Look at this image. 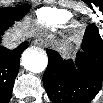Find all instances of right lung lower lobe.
<instances>
[{
    "mask_svg": "<svg viewBox=\"0 0 103 103\" xmlns=\"http://www.w3.org/2000/svg\"><path fill=\"white\" fill-rule=\"evenodd\" d=\"M13 23L12 21L0 22V35ZM27 47L28 42L21 43L14 50L0 47V99L2 101L10 99L14 80L19 70L20 56Z\"/></svg>",
    "mask_w": 103,
    "mask_h": 103,
    "instance_id": "obj_1",
    "label": "right lung lower lobe"
}]
</instances>
